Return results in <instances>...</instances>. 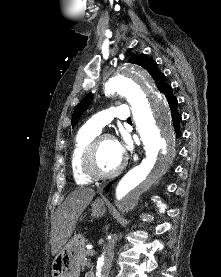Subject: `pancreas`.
<instances>
[{"label":"pancreas","instance_id":"pancreas-1","mask_svg":"<svg viewBox=\"0 0 221 277\" xmlns=\"http://www.w3.org/2000/svg\"><path fill=\"white\" fill-rule=\"evenodd\" d=\"M94 255V251L92 250H85L84 251V258L82 261V266H90V259L87 258V256H93Z\"/></svg>","mask_w":221,"mask_h":277}]
</instances>
